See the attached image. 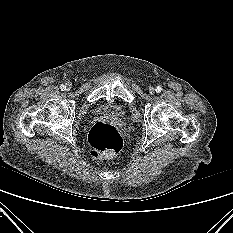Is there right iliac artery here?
<instances>
[{"label":"right iliac artery","mask_w":233,"mask_h":233,"mask_svg":"<svg viewBox=\"0 0 233 233\" xmlns=\"http://www.w3.org/2000/svg\"><path fill=\"white\" fill-rule=\"evenodd\" d=\"M60 89H61L62 91H64V90H66V86L62 84V85L60 86Z\"/></svg>","instance_id":"82829eb1"}]
</instances>
